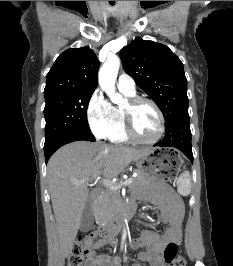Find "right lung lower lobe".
<instances>
[{"label":"right lung lower lobe","mask_w":233,"mask_h":266,"mask_svg":"<svg viewBox=\"0 0 233 266\" xmlns=\"http://www.w3.org/2000/svg\"><path fill=\"white\" fill-rule=\"evenodd\" d=\"M78 140H87V141H95L94 136L91 134V132L88 131H77V132H71L68 134H64L55 140L44 144V153H45V160L46 163L49 160L50 156L61 146Z\"/></svg>","instance_id":"right-lung-lower-lobe-1"}]
</instances>
